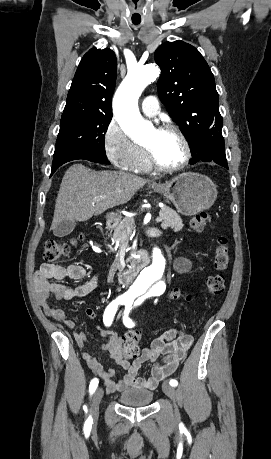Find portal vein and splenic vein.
<instances>
[{
  "instance_id": "obj_1",
  "label": "portal vein and splenic vein",
  "mask_w": 271,
  "mask_h": 459,
  "mask_svg": "<svg viewBox=\"0 0 271 459\" xmlns=\"http://www.w3.org/2000/svg\"><path fill=\"white\" fill-rule=\"evenodd\" d=\"M156 220H157V223L159 224L161 222V217L160 216H156Z\"/></svg>"
}]
</instances>
